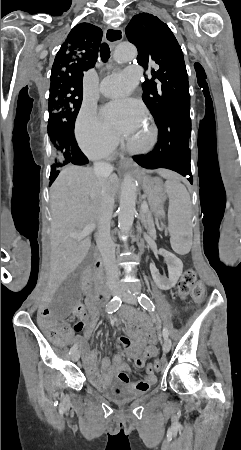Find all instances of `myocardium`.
Instances as JSON below:
<instances>
[{"label": "myocardium", "instance_id": "f54148a6", "mask_svg": "<svg viewBox=\"0 0 241 450\" xmlns=\"http://www.w3.org/2000/svg\"><path fill=\"white\" fill-rule=\"evenodd\" d=\"M152 125V124H151ZM148 134L149 135H151V137H147L146 138V140H143V145H147L146 147L147 148H144L143 149V152L144 153H150L151 152V149H153V144H151L152 142H155L156 141V138H155V136H156V131L155 130H149L148 131ZM144 155V154H143Z\"/></svg>", "mask_w": 241, "mask_h": 450}]
</instances>
